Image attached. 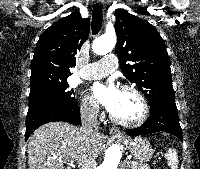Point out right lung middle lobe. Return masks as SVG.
Instances as JSON below:
<instances>
[{"label":"right lung middle lobe","mask_w":200,"mask_h":169,"mask_svg":"<svg viewBox=\"0 0 200 169\" xmlns=\"http://www.w3.org/2000/svg\"><path fill=\"white\" fill-rule=\"evenodd\" d=\"M74 89L69 87L67 79L46 81L31 87L29 109L40 106H59L70 108L77 104Z\"/></svg>","instance_id":"right-lung-middle-lobe-1"}]
</instances>
